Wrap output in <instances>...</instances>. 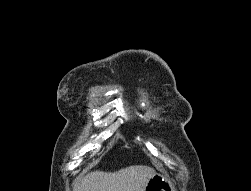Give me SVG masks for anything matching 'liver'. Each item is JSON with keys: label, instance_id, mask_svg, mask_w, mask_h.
Wrapping results in <instances>:
<instances>
[{"label": "liver", "instance_id": "1", "mask_svg": "<svg viewBox=\"0 0 251 191\" xmlns=\"http://www.w3.org/2000/svg\"><path fill=\"white\" fill-rule=\"evenodd\" d=\"M152 175L155 171L147 165H129L119 171H91L77 183L75 191H144Z\"/></svg>", "mask_w": 251, "mask_h": 191}]
</instances>
